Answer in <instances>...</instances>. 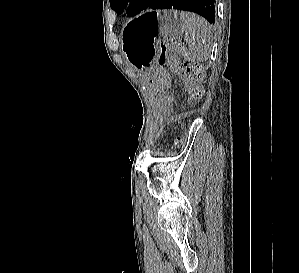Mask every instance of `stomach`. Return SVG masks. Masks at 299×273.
Segmentation results:
<instances>
[{"mask_svg":"<svg viewBox=\"0 0 299 273\" xmlns=\"http://www.w3.org/2000/svg\"><path fill=\"white\" fill-rule=\"evenodd\" d=\"M184 32L176 10L147 12L127 23L121 32V52L126 62L139 74H155L162 80L167 69H158L157 48L160 41H173Z\"/></svg>","mask_w":299,"mask_h":273,"instance_id":"obj_1","label":"stomach"}]
</instances>
